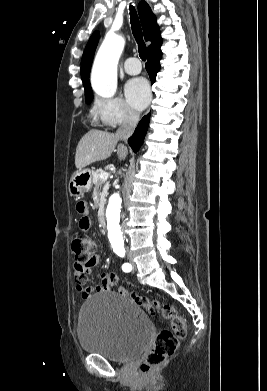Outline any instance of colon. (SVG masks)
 I'll list each match as a JSON object with an SVG mask.
<instances>
[{
    "instance_id": "colon-1",
    "label": "colon",
    "mask_w": 267,
    "mask_h": 391,
    "mask_svg": "<svg viewBox=\"0 0 267 391\" xmlns=\"http://www.w3.org/2000/svg\"><path fill=\"white\" fill-rule=\"evenodd\" d=\"M71 248L76 264L81 266H92L95 264L97 243L92 237L83 234L75 235ZM117 280L116 274H107L109 286H115ZM121 293L135 304L145 308L152 315L158 316L160 319L170 323L171 330H161L157 334L152 348L145 355L140 365L141 372L143 374H149L175 353L179 345V340L186 335L187 328L185 320L172 305L160 304L155 300L125 290H121Z\"/></svg>"
}]
</instances>
